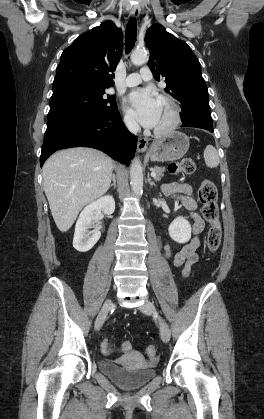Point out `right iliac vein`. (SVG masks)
I'll return each mask as SVG.
<instances>
[{
    "instance_id": "obj_1",
    "label": "right iliac vein",
    "mask_w": 264,
    "mask_h": 419,
    "mask_svg": "<svg viewBox=\"0 0 264 419\" xmlns=\"http://www.w3.org/2000/svg\"><path fill=\"white\" fill-rule=\"evenodd\" d=\"M112 305H113V302L110 299H108L104 303V305H103V307H102V309H101V311H100V313H99V315L96 319V322H95V329L96 330H99L102 327V325H103L104 321L106 320L108 312L111 309Z\"/></svg>"
}]
</instances>
